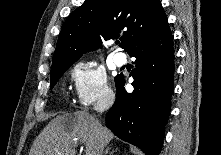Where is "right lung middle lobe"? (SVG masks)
Instances as JSON below:
<instances>
[{
	"label": "right lung middle lobe",
	"instance_id": "dd1d6c3e",
	"mask_svg": "<svg viewBox=\"0 0 221 155\" xmlns=\"http://www.w3.org/2000/svg\"><path fill=\"white\" fill-rule=\"evenodd\" d=\"M72 64L65 65L58 67L54 70H51L50 76H51V83H50V89L54 87L58 79L64 74V72L71 66Z\"/></svg>",
	"mask_w": 221,
	"mask_h": 155
}]
</instances>
